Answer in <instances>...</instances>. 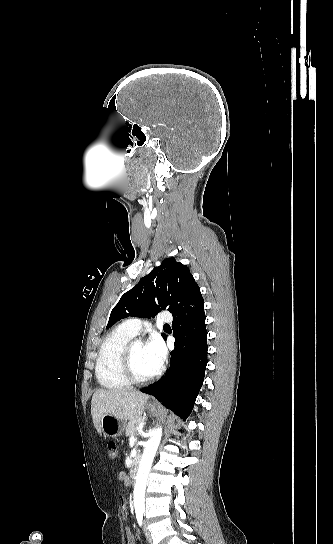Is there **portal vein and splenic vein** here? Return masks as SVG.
I'll use <instances>...</instances> for the list:
<instances>
[{"mask_svg":"<svg viewBox=\"0 0 333 544\" xmlns=\"http://www.w3.org/2000/svg\"><path fill=\"white\" fill-rule=\"evenodd\" d=\"M138 429H140V427H139ZM136 440H137V438L134 437V436H132V437H130V440H129V441H130V443H133V442H135Z\"/></svg>","mask_w":333,"mask_h":544,"instance_id":"1","label":"portal vein and splenic vein"}]
</instances>
